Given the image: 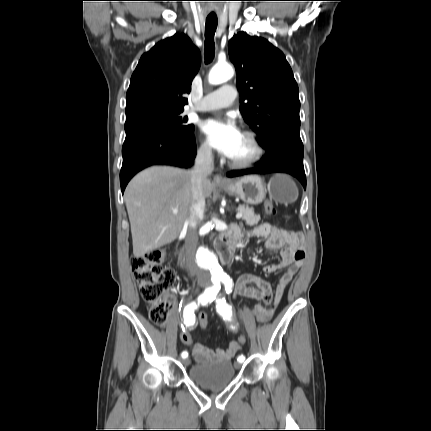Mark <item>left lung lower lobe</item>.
Instances as JSON below:
<instances>
[{
  "label": "left lung lower lobe",
  "mask_w": 431,
  "mask_h": 431,
  "mask_svg": "<svg viewBox=\"0 0 431 431\" xmlns=\"http://www.w3.org/2000/svg\"><path fill=\"white\" fill-rule=\"evenodd\" d=\"M267 155L264 156L256 168L237 170L227 173L228 177H237L246 174H265V173H289L296 177L306 189V176L303 166V144L296 143L287 139L276 141L266 149Z\"/></svg>",
  "instance_id": "obj_1"
}]
</instances>
